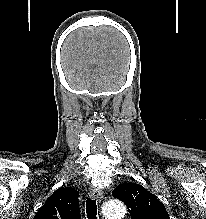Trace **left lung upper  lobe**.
Listing matches in <instances>:
<instances>
[{
  "mask_svg": "<svg viewBox=\"0 0 206 219\" xmlns=\"http://www.w3.org/2000/svg\"><path fill=\"white\" fill-rule=\"evenodd\" d=\"M112 195L126 204L131 219H170L164 204L139 184H120Z\"/></svg>",
  "mask_w": 206,
  "mask_h": 219,
  "instance_id": "1",
  "label": "left lung upper lobe"
}]
</instances>
